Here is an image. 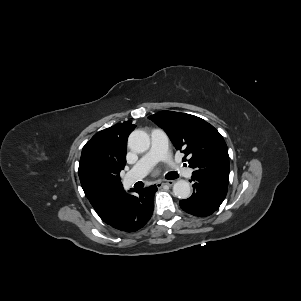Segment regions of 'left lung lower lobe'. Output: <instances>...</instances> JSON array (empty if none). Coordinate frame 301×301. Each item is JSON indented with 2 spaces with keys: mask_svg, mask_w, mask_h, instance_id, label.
Segmentation results:
<instances>
[{
  "mask_svg": "<svg viewBox=\"0 0 301 301\" xmlns=\"http://www.w3.org/2000/svg\"><path fill=\"white\" fill-rule=\"evenodd\" d=\"M192 180L194 192L190 198L179 202L181 208L194 216L211 215L223 202L227 187L203 177L192 175Z\"/></svg>",
  "mask_w": 301,
  "mask_h": 301,
  "instance_id": "1",
  "label": "left lung lower lobe"
}]
</instances>
